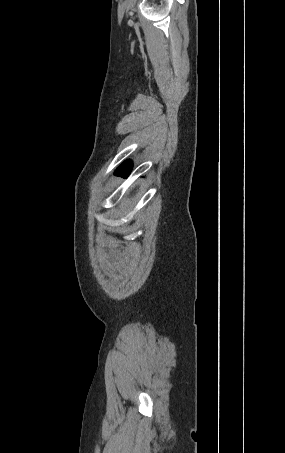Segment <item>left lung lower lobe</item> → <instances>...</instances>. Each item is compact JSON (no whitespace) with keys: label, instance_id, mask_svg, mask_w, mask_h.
I'll return each mask as SVG.
<instances>
[{"label":"left lung lower lobe","instance_id":"obj_1","mask_svg":"<svg viewBox=\"0 0 285 453\" xmlns=\"http://www.w3.org/2000/svg\"><path fill=\"white\" fill-rule=\"evenodd\" d=\"M132 165L127 162L123 163L120 167L117 168L115 174L122 177H127L130 174Z\"/></svg>","mask_w":285,"mask_h":453}]
</instances>
